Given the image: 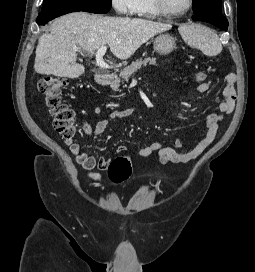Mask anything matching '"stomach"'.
Returning a JSON list of instances; mask_svg holds the SVG:
<instances>
[{"label":"stomach","instance_id":"1","mask_svg":"<svg viewBox=\"0 0 255 272\" xmlns=\"http://www.w3.org/2000/svg\"><path fill=\"white\" fill-rule=\"evenodd\" d=\"M154 50L160 55H168L176 48V41L168 33L159 34L153 41Z\"/></svg>","mask_w":255,"mask_h":272}]
</instances>
